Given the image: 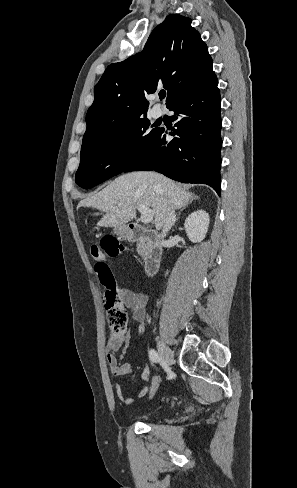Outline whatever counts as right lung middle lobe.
<instances>
[{"mask_svg": "<svg viewBox=\"0 0 297 488\" xmlns=\"http://www.w3.org/2000/svg\"><path fill=\"white\" fill-rule=\"evenodd\" d=\"M158 132V128L150 130V122L144 116L105 134L84 138L75 182L88 189L123 172Z\"/></svg>", "mask_w": 297, "mask_h": 488, "instance_id": "right-lung-middle-lobe-1", "label": "right lung middle lobe"}]
</instances>
